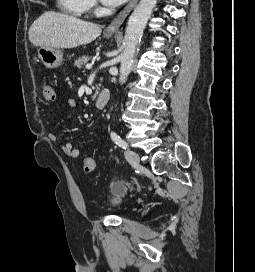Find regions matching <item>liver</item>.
<instances>
[{
    "label": "liver",
    "instance_id": "liver-1",
    "mask_svg": "<svg viewBox=\"0 0 255 272\" xmlns=\"http://www.w3.org/2000/svg\"><path fill=\"white\" fill-rule=\"evenodd\" d=\"M101 31L100 25L47 11L33 22L28 35L34 46L70 49L91 43Z\"/></svg>",
    "mask_w": 255,
    "mask_h": 272
}]
</instances>
